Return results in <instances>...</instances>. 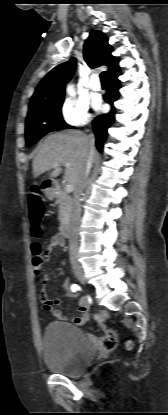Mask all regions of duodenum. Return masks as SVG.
I'll use <instances>...</instances> for the list:
<instances>
[{
    "label": "duodenum",
    "mask_w": 168,
    "mask_h": 415,
    "mask_svg": "<svg viewBox=\"0 0 168 415\" xmlns=\"http://www.w3.org/2000/svg\"><path fill=\"white\" fill-rule=\"evenodd\" d=\"M43 189L51 195H54L58 192L59 188L58 185L51 180H45L42 183ZM59 233L63 238L68 237L69 235V224L67 222H63L60 224Z\"/></svg>",
    "instance_id": "obj_1"
}]
</instances>
